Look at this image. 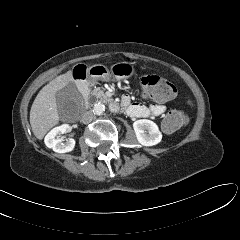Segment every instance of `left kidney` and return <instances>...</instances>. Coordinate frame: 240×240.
<instances>
[{"instance_id": "5707ae66", "label": "left kidney", "mask_w": 240, "mask_h": 240, "mask_svg": "<svg viewBox=\"0 0 240 240\" xmlns=\"http://www.w3.org/2000/svg\"><path fill=\"white\" fill-rule=\"evenodd\" d=\"M133 129L138 142L143 146L156 145L162 139V133L160 132L157 124L151 120H136L133 123Z\"/></svg>"}]
</instances>
